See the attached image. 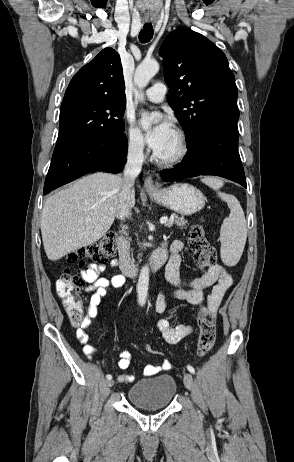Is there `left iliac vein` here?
I'll return each mask as SVG.
<instances>
[{
  "label": "left iliac vein",
  "mask_w": 294,
  "mask_h": 462,
  "mask_svg": "<svg viewBox=\"0 0 294 462\" xmlns=\"http://www.w3.org/2000/svg\"><path fill=\"white\" fill-rule=\"evenodd\" d=\"M184 384L186 386L187 389L189 390H193V377L190 373H185L184 374Z\"/></svg>",
  "instance_id": "obj_1"
}]
</instances>
